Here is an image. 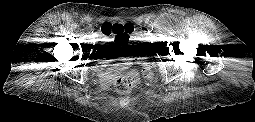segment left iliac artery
Instances as JSON below:
<instances>
[{
  "mask_svg": "<svg viewBox=\"0 0 255 122\" xmlns=\"http://www.w3.org/2000/svg\"><path fill=\"white\" fill-rule=\"evenodd\" d=\"M153 28H154V25H153V24H150V25L148 26V32H152Z\"/></svg>",
  "mask_w": 255,
  "mask_h": 122,
  "instance_id": "left-iliac-artery-1",
  "label": "left iliac artery"
}]
</instances>
